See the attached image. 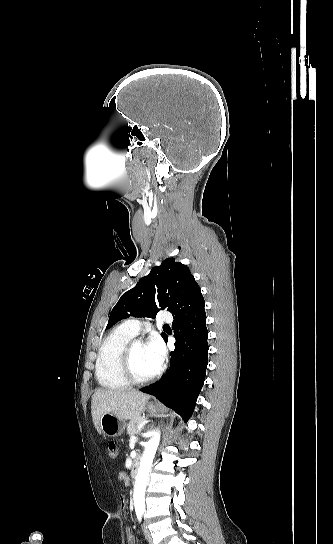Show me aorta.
<instances>
[{"mask_svg":"<svg viewBox=\"0 0 333 544\" xmlns=\"http://www.w3.org/2000/svg\"><path fill=\"white\" fill-rule=\"evenodd\" d=\"M159 442L160 432L156 431L153 433L151 439L147 442L145 446L134 485L133 498L135 508L145 507V491L147 479Z\"/></svg>","mask_w":333,"mask_h":544,"instance_id":"762f6f07","label":"aorta"}]
</instances>
